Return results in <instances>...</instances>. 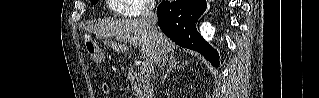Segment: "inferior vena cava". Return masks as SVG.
Instances as JSON below:
<instances>
[{"label": "inferior vena cava", "instance_id": "inferior-vena-cava-1", "mask_svg": "<svg viewBox=\"0 0 319 98\" xmlns=\"http://www.w3.org/2000/svg\"><path fill=\"white\" fill-rule=\"evenodd\" d=\"M155 10V2L153 0H146L143 10H142V21L145 23L149 32L153 35H156L160 30L157 27V15L154 12ZM167 60V52L163 46H161L159 50V58H158V67L160 70L166 64Z\"/></svg>", "mask_w": 319, "mask_h": 98}]
</instances>
